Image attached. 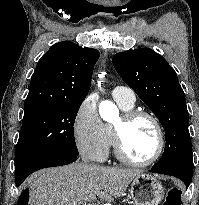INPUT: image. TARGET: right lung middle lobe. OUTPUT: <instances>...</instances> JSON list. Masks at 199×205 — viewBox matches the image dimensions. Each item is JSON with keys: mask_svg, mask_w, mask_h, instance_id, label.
<instances>
[{"mask_svg": "<svg viewBox=\"0 0 199 205\" xmlns=\"http://www.w3.org/2000/svg\"><path fill=\"white\" fill-rule=\"evenodd\" d=\"M82 102L55 103L24 112L15 152V170L51 154L77 157L74 122Z\"/></svg>", "mask_w": 199, "mask_h": 205, "instance_id": "right-lung-middle-lobe-1", "label": "right lung middle lobe"}]
</instances>
